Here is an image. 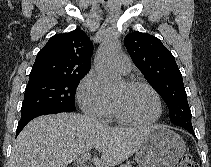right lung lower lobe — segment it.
Segmentation results:
<instances>
[{
	"mask_svg": "<svg viewBox=\"0 0 211 167\" xmlns=\"http://www.w3.org/2000/svg\"><path fill=\"white\" fill-rule=\"evenodd\" d=\"M60 112H73L71 110H59V109H51V110H44V111H39L36 113L29 114L25 117H22L18 123L17 131H16V137L20 133V131L25 127V125L31 121L32 119L41 116V115H46V114H56Z\"/></svg>",
	"mask_w": 211,
	"mask_h": 167,
	"instance_id": "1",
	"label": "right lung lower lobe"
}]
</instances>
